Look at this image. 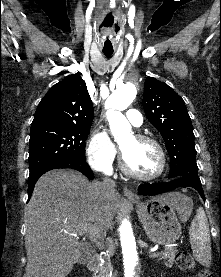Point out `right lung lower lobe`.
<instances>
[{"mask_svg": "<svg viewBox=\"0 0 221 277\" xmlns=\"http://www.w3.org/2000/svg\"><path fill=\"white\" fill-rule=\"evenodd\" d=\"M59 168H72L75 170L80 171L81 173H83L87 178H89L90 180H92L94 178V174L91 170V168L89 167V165L82 160H69L66 162H62L56 166L53 167H49V168H45L42 171H40L38 174H36L35 176L29 177V182H28V200L30 199L35 183L37 182V180L47 171L52 170V169H59Z\"/></svg>", "mask_w": 221, "mask_h": 277, "instance_id": "right-lung-lower-lobe-1", "label": "right lung lower lobe"}]
</instances>
